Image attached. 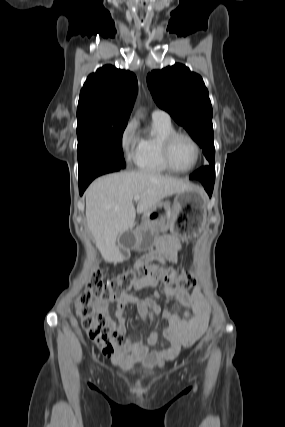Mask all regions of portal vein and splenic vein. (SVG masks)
I'll list each match as a JSON object with an SVG mask.
<instances>
[{
  "label": "portal vein and splenic vein",
  "mask_w": 285,
  "mask_h": 427,
  "mask_svg": "<svg viewBox=\"0 0 285 427\" xmlns=\"http://www.w3.org/2000/svg\"><path fill=\"white\" fill-rule=\"evenodd\" d=\"M139 199H140V196H135L134 197V201H136V202L139 201Z\"/></svg>",
  "instance_id": "obj_1"
}]
</instances>
